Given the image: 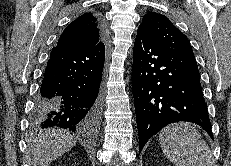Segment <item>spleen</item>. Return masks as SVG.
<instances>
[{
	"instance_id": "1",
	"label": "spleen",
	"mask_w": 231,
	"mask_h": 166,
	"mask_svg": "<svg viewBox=\"0 0 231 166\" xmlns=\"http://www.w3.org/2000/svg\"><path fill=\"white\" fill-rule=\"evenodd\" d=\"M159 142L164 155L175 166H214L210 148L189 123L165 127L159 133Z\"/></svg>"
}]
</instances>
